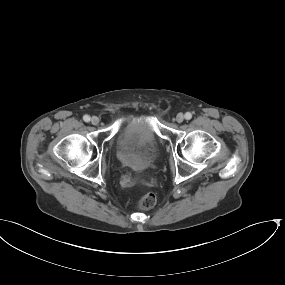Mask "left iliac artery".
Returning <instances> with one entry per match:
<instances>
[{
    "label": "left iliac artery",
    "instance_id": "44dca946",
    "mask_svg": "<svg viewBox=\"0 0 285 285\" xmlns=\"http://www.w3.org/2000/svg\"><path fill=\"white\" fill-rule=\"evenodd\" d=\"M185 118H186V120H190L192 118V114L190 112H187L185 114Z\"/></svg>",
    "mask_w": 285,
    "mask_h": 285
}]
</instances>
